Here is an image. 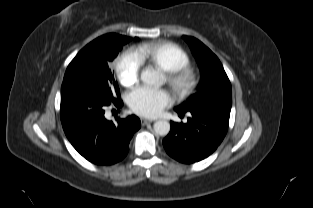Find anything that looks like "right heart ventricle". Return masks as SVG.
Here are the masks:
<instances>
[{"label":"right heart ventricle","mask_w":313,"mask_h":208,"mask_svg":"<svg viewBox=\"0 0 313 208\" xmlns=\"http://www.w3.org/2000/svg\"><path fill=\"white\" fill-rule=\"evenodd\" d=\"M142 62H148L165 72L173 71L189 63L188 54L172 42H153L139 46L136 50Z\"/></svg>","instance_id":"1"}]
</instances>
